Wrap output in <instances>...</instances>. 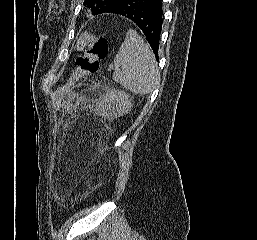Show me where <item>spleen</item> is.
<instances>
[{
  "mask_svg": "<svg viewBox=\"0 0 257 240\" xmlns=\"http://www.w3.org/2000/svg\"><path fill=\"white\" fill-rule=\"evenodd\" d=\"M113 79L126 90L141 95L151 93L160 79L153 52L134 30L127 31L114 59Z\"/></svg>",
  "mask_w": 257,
  "mask_h": 240,
  "instance_id": "3e777b00",
  "label": "spleen"
}]
</instances>
